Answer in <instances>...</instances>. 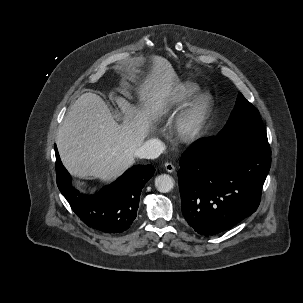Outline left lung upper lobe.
Segmentation results:
<instances>
[{
  "label": "left lung upper lobe",
  "instance_id": "obj_1",
  "mask_svg": "<svg viewBox=\"0 0 303 303\" xmlns=\"http://www.w3.org/2000/svg\"><path fill=\"white\" fill-rule=\"evenodd\" d=\"M237 136L255 144L269 147L266 129L258 110L239 93L236 105L224 128L216 138Z\"/></svg>",
  "mask_w": 303,
  "mask_h": 303
}]
</instances>
